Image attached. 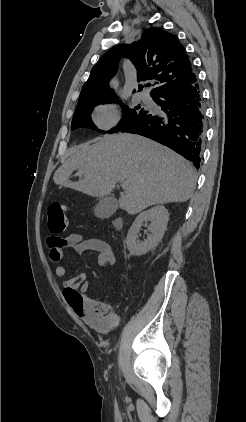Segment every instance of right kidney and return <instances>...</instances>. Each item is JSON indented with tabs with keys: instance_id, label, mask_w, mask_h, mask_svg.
<instances>
[{
	"instance_id": "1",
	"label": "right kidney",
	"mask_w": 246,
	"mask_h": 422,
	"mask_svg": "<svg viewBox=\"0 0 246 422\" xmlns=\"http://www.w3.org/2000/svg\"><path fill=\"white\" fill-rule=\"evenodd\" d=\"M168 220V210L162 205L155 206L140 213L133 222L126 237V245L129 252L135 256H142L154 249L164 236ZM144 222L146 224L150 222L147 230L149 233H147V239L139 242L137 239L138 233Z\"/></svg>"
}]
</instances>
